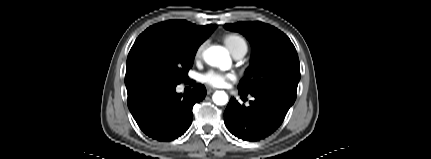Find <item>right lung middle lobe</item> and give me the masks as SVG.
Listing matches in <instances>:
<instances>
[{
    "mask_svg": "<svg viewBox=\"0 0 431 159\" xmlns=\"http://www.w3.org/2000/svg\"><path fill=\"white\" fill-rule=\"evenodd\" d=\"M197 49L161 35H140L128 54L125 81L179 84L188 79Z\"/></svg>",
    "mask_w": 431,
    "mask_h": 159,
    "instance_id": "1",
    "label": "right lung middle lobe"
}]
</instances>
